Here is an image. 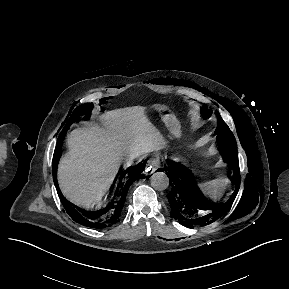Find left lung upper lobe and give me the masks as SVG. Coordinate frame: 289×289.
Returning a JSON list of instances; mask_svg holds the SVG:
<instances>
[{
	"mask_svg": "<svg viewBox=\"0 0 289 289\" xmlns=\"http://www.w3.org/2000/svg\"><path fill=\"white\" fill-rule=\"evenodd\" d=\"M201 115L203 117H210L212 115V111L208 110L207 107H203L201 109ZM217 122L218 126L215 130V134L217 136L216 139L219 144V148L225 151L224 161L231 163L232 165H239L238 152L232 132L222 118H218Z\"/></svg>",
	"mask_w": 289,
	"mask_h": 289,
	"instance_id": "5c2ea615",
	"label": "left lung upper lobe"
}]
</instances>
